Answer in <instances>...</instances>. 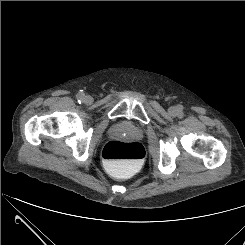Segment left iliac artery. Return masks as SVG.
Segmentation results:
<instances>
[{"mask_svg":"<svg viewBox=\"0 0 245 245\" xmlns=\"http://www.w3.org/2000/svg\"><path fill=\"white\" fill-rule=\"evenodd\" d=\"M182 113V108H179V114H181Z\"/></svg>","mask_w":245,"mask_h":245,"instance_id":"44dca946","label":"left iliac artery"}]
</instances>
